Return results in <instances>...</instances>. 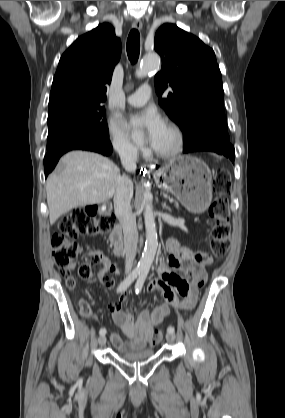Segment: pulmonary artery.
I'll list each match as a JSON object with an SVG mask.
<instances>
[{
	"instance_id": "obj_1",
	"label": "pulmonary artery",
	"mask_w": 285,
	"mask_h": 418,
	"mask_svg": "<svg viewBox=\"0 0 285 418\" xmlns=\"http://www.w3.org/2000/svg\"><path fill=\"white\" fill-rule=\"evenodd\" d=\"M151 90L148 86H141L137 92L127 98V103L132 106H142L150 98Z\"/></svg>"
}]
</instances>
